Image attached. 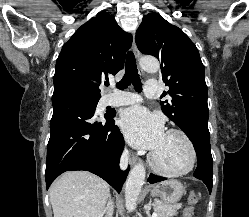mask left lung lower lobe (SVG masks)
Here are the masks:
<instances>
[{
    "instance_id": "1",
    "label": "left lung lower lobe",
    "mask_w": 249,
    "mask_h": 217,
    "mask_svg": "<svg viewBox=\"0 0 249 217\" xmlns=\"http://www.w3.org/2000/svg\"><path fill=\"white\" fill-rule=\"evenodd\" d=\"M194 145L198 166L193 174L197 179L202 180L209 192L212 190V175H213V159L210 148V134L208 126L205 124H197L193 127V135L189 138ZM165 180L163 177L150 174L149 183H156Z\"/></svg>"
}]
</instances>
